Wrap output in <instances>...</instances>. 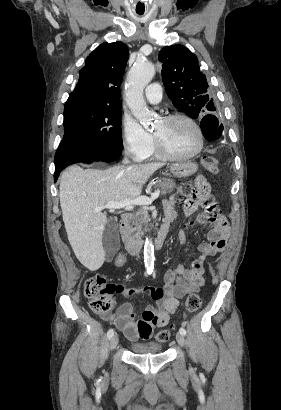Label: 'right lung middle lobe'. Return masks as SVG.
I'll return each mask as SVG.
<instances>
[{"label": "right lung middle lobe", "mask_w": 281, "mask_h": 410, "mask_svg": "<svg viewBox=\"0 0 281 410\" xmlns=\"http://www.w3.org/2000/svg\"><path fill=\"white\" fill-rule=\"evenodd\" d=\"M64 136L55 154L81 150H122L121 108L67 105L64 109Z\"/></svg>", "instance_id": "dd1d6c3e"}]
</instances>
